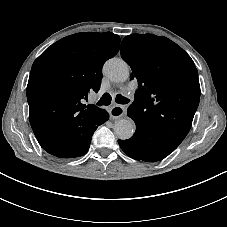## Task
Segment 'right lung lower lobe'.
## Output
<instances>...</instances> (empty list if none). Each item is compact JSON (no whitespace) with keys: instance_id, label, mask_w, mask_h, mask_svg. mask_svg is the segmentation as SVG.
I'll use <instances>...</instances> for the list:
<instances>
[{"instance_id":"1","label":"right lung lower lobe","mask_w":227,"mask_h":227,"mask_svg":"<svg viewBox=\"0 0 227 227\" xmlns=\"http://www.w3.org/2000/svg\"><path fill=\"white\" fill-rule=\"evenodd\" d=\"M97 127H87L85 124L78 127L76 131H74L70 138V146L66 150H61L53 147H44L42 142L38 137L37 140L40 143L41 147L46 150L48 153L60 157V158H74L79 157L87 153L92 135Z\"/></svg>"}]
</instances>
